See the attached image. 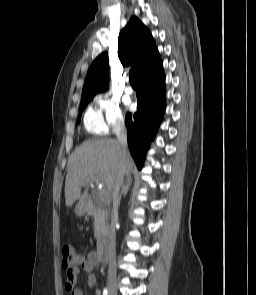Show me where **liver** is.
Masks as SVG:
<instances>
[{
    "label": "liver",
    "instance_id": "liver-1",
    "mask_svg": "<svg viewBox=\"0 0 256 295\" xmlns=\"http://www.w3.org/2000/svg\"><path fill=\"white\" fill-rule=\"evenodd\" d=\"M134 167L133 160L127 152L125 158L121 155L120 143L114 139H92L83 142L70 155L67 164L65 180V203L67 207L87 197V192L81 193V188L92 181L101 182L107 194L119 176L130 179Z\"/></svg>",
    "mask_w": 256,
    "mask_h": 295
}]
</instances>
